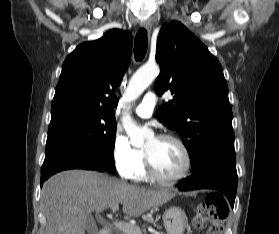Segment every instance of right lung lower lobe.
<instances>
[{
    "mask_svg": "<svg viewBox=\"0 0 279 234\" xmlns=\"http://www.w3.org/2000/svg\"><path fill=\"white\" fill-rule=\"evenodd\" d=\"M67 169L107 171L101 163L81 151L64 150L44 160L41 168V186L51 175Z\"/></svg>",
    "mask_w": 279,
    "mask_h": 234,
    "instance_id": "98d812e1",
    "label": "right lung lower lobe"
}]
</instances>
